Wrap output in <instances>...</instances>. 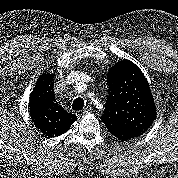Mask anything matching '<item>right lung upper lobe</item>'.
Masks as SVG:
<instances>
[{"instance_id": "1", "label": "right lung upper lobe", "mask_w": 178, "mask_h": 178, "mask_svg": "<svg viewBox=\"0 0 178 178\" xmlns=\"http://www.w3.org/2000/svg\"><path fill=\"white\" fill-rule=\"evenodd\" d=\"M54 75L45 72L39 76L29 101L33 125L48 137L65 133L77 119L76 115L66 112L56 101Z\"/></svg>"}]
</instances>
